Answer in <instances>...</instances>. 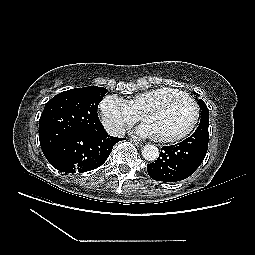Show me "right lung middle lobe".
I'll list each match as a JSON object with an SVG mask.
<instances>
[{
	"mask_svg": "<svg viewBox=\"0 0 255 255\" xmlns=\"http://www.w3.org/2000/svg\"><path fill=\"white\" fill-rule=\"evenodd\" d=\"M107 89L97 86L74 88L54 96L45 105L39 120V140L44 154L75 131L98 133L104 130L97 114Z\"/></svg>",
	"mask_w": 255,
	"mask_h": 255,
	"instance_id": "dd1d6c3e",
	"label": "right lung middle lobe"
}]
</instances>
